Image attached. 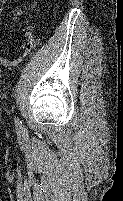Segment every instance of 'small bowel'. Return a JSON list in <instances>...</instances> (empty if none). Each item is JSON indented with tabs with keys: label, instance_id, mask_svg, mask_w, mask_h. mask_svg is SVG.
I'll use <instances>...</instances> for the list:
<instances>
[{
	"label": "small bowel",
	"instance_id": "1",
	"mask_svg": "<svg viewBox=\"0 0 123 201\" xmlns=\"http://www.w3.org/2000/svg\"><path fill=\"white\" fill-rule=\"evenodd\" d=\"M3 6L0 4V14L2 13ZM36 43V39L34 38L33 34L30 31H27L25 34L24 42L22 44L23 48V56L15 59V60H9L3 56L0 55V67H12L17 66L23 58L30 52L31 48Z\"/></svg>",
	"mask_w": 123,
	"mask_h": 201
}]
</instances>
